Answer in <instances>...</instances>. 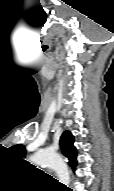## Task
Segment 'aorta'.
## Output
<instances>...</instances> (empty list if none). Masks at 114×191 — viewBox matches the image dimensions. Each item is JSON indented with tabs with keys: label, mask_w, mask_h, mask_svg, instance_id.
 <instances>
[{
	"label": "aorta",
	"mask_w": 114,
	"mask_h": 191,
	"mask_svg": "<svg viewBox=\"0 0 114 191\" xmlns=\"http://www.w3.org/2000/svg\"><path fill=\"white\" fill-rule=\"evenodd\" d=\"M30 160L36 165H45L53 169L58 176L59 182L69 185L70 172L59 154L48 150H38L30 157Z\"/></svg>",
	"instance_id": "762f6f07"
}]
</instances>
